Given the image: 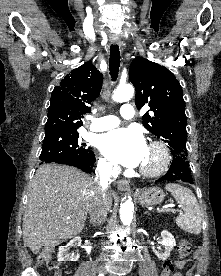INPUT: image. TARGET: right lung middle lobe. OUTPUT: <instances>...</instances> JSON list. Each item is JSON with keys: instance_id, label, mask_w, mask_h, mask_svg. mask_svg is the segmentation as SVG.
Returning <instances> with one entry per match:
<instances>
[{"instance_id": "right-lung-middle-lobe-1", "label": "right lung middle lobe", "mask_w": 221, "mask_h": 276, "mask_svg": "<svg viewBox=\"0 0 221 276\" xmlns=\"http://www.w3.org/2000/svg\"><path fill=\"white\" fill-rule=\"evenodd\" d=\"M78 132L45 134L40 160L58 162L69 159H91L94 152L85 149V144L78 143Z\"/></svg>"}]
</instances>
